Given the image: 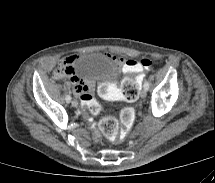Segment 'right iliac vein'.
Segmentation results:
<instances>
[{
  "label": "right iliac vein",
  "mask_w": 215,
  "mask_h": 183,
  "mask_svg": "<svg viewBox=\"0 0 215 183\" xmlns=\"http://www.w3.org/2000/svg\"><path fill=\"white\" fill-rule=\"evenodd\" d=\"M71 104H72L73 107H77L78 106V101L74 99V100H72Z\"/></svg>",
  "instance_id": "1"
}]
</instances>
